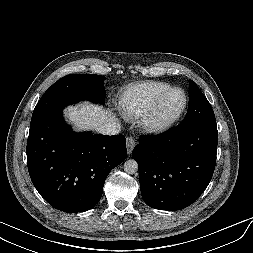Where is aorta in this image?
<instances>
[{
	"mask_svg": "<svg viewBox=\"0 0 253 253\" xmlns=\"http://www.w3.org/2000/svg\"><path fill=\"white\" fill-rule=\"evenodd\" d=\"M124 171L127 174H135L138 171V163L133 159L125 161Z\"/></svg>",
	"mask_w": 253,
	"mask_h": 253,
	"instance_id": "762f6f07",
	"label": "aorta"
}]
</instances>
